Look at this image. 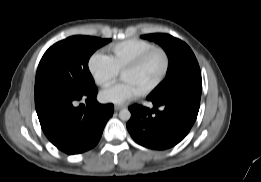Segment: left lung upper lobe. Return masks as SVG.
Here are the masks:
<instances>
[{
    "label": "left lung upper lobe",
    "mask_w": 261,
    "mask_h": 182,
    "mask_svg": "<svg viewBox=\"0 0 261 182\" xmlns=\"http://www.w3.org/2000/svg\"><path fill=\"white\" fill-rule=\"evenodd\" d=\"M141 37L158 43L169 58L166 78L149 97L156 101H165L182 93L202 91L200 68L194 53L186 43L161 33Z\"/></svg>",
    "instance_id": "obj_1"
}]
</instances>
